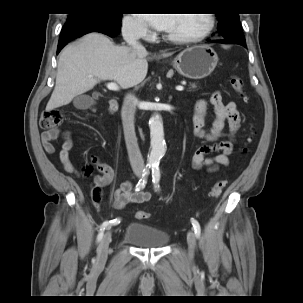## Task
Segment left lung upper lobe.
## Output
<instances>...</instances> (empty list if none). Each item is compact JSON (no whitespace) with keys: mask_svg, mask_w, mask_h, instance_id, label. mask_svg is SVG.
<instances>
[{"mask_svg":"<svg viewBox=\"0 0 303 303\" xmlns=\"http://www.w3.org/2000/svg\"><path fill=\"white\" fill-rule=\"evenodd\" d=\"M219 19L218 31L227 41H245L239 14L220 13L216 14Z\"/></svg>","mask_w":303,"mask_h":303,"instance_id":"left-lung-upper-lobe-1","label":"left lung upper lobe"}]
</instances>
